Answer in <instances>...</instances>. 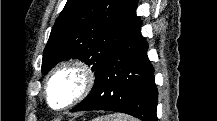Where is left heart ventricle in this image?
Instances as JSON below:
<instances>
[{"label":"left heart ventricle","instance_id":"b2bd125f","mask_svg":"<svg viewBox=\"0 0 217 121\" xmlns=\"http://www.w3.org/2000/svg\"><path fill=\"white\" fill-rule=\"evenodd\" d=\"M80 81L72 72L63 73L58 76L52 83L50 89L51 103L55 107L65 105L76 93Z\"/></svg>","mask_w":217,"mask_h":121}]
</instances>
